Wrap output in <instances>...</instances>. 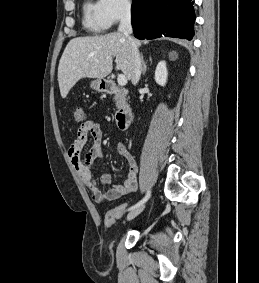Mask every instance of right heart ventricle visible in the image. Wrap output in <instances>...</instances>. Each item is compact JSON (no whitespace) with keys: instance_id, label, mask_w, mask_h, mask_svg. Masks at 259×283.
Wrapping results in <instances>:
<instances>
[{"instance_id":"obj_1","label":"right heart ventricle","mask_w":259,"mask_h":283,"mask_svg":"<svg viewBox=\"0 0 259 283\" xmlns=\"http://www.w3.org/2000/svg\"><path fill=\"white\" fill-rule=\"evenodd\" d=\"M84 24L92 32L100 34L108 29V25L97 2L88 0L84 5Z\"/></svg>"}]
</instances>
